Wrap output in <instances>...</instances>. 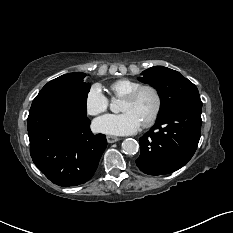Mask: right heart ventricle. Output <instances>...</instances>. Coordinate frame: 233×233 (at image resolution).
<instances>
[{
    "instance_id": "right-heart-ventricle-1",
    "label": "right heart ventricle",
    "mask_w": 233,
    "mask_h": 233,
    "mask_svg": "<svg viewBox=\"0 0 233 233\" xmlns=\"http://www.w3.org/2000/svg\"><path fill=\"white\" fill-rule=\"evenodd\" d=\"M140 85L141 83L137 81L122 78L112 82L109 85V90L114 97L123 98L126 94L130 93Z\"/></svg>"
}]
</instances>
